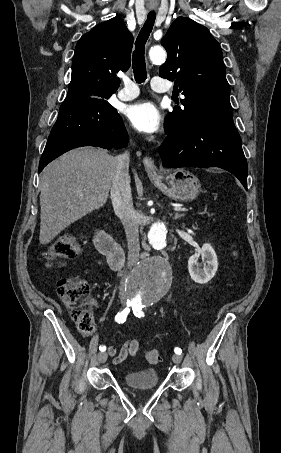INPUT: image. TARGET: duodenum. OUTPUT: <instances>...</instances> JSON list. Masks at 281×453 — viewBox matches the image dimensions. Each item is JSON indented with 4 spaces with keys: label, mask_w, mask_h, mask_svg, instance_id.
Listing matches in <instances>:
<instances>
[{
    "label": "duodenum",
    "mask_w": 281,
    "mask_h": 453,
    "mask_svg": "<svg viewBox=\"0 0 281 453\" xmlns=\"http://www.w3.org/2000/svg\"><path fill=\"white\" fill-rule=\"evenodd\" d=\"M95 245L100 253L106 256L109 265L119 270L125 262V254L121 246L105 231L95 235Z\"/></svg>",
    "instance_id": "1"
}]
</instances>
